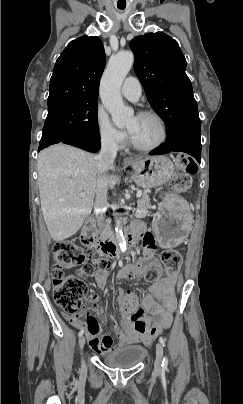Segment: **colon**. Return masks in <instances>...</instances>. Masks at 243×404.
<instances>
[{
    "instance_id": "colon-1",
    "label": "colon",
    "mask_w": 243,
    "mask_h": 404,
    "mask_svg": "<svg viewBox=\"0 0 243 404\" xmlns=\"http://www.w3.org/2000/svg\"><path fill=\"white\" fill-rule=\"evenodd\" d=\"M197 172V165L187 155H179L175 163V174L172 179V188L177 193L187 191L192 185V176ZM54 266L52 269L53 296L57 305L72 316H77L81 308V302L87 294V286L80 276L66 275L65 270L81 267V276H90L95 272V265L100 269H108L111 262L105 257L94 258L86 256L84 251L70 241L57 242L53 246ZM163 269L150 267L144 273V278L149 282L160 280L163 276H175L180 267L182 258L175 250H165L161 254ZM139 271L134 267L125 270V276L136 278ZM120 308L123 314L129 315L138 309L137 296L128 292L120 297Z\"/></svg>"
}]
</instances>
